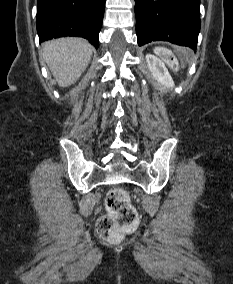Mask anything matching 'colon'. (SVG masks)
<instances>
[{
    "instance_id": "obj_1",
    "label": "colon",
    "mask_w": 233,
    "mask_h": 284,
    "mask_svg": "<svg viewBox=\"0 0 233 284\" xmlns=\"http://www.w3.org/2000/svg\"><path fill=\"white\" fill-rule=\"evenodd\" d=\"M155 52L166 65L174 72L179 71V63L174 53L166 47H157ZM107 214L97 221L98 233L107 239L116 240L120 235L132 227L138 221V215L130 202L128 193L116 187L111 189L106 196Z\"/></svg>"
}]
</instances>
